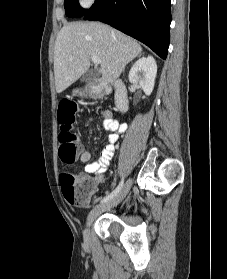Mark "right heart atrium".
I'll list each match as a JSON object with an SVG mask.
<instances>
[{
	"label": "right heart atrium",
	"mask_w": 227,
	"mask_h": 279,
	"mask_svg": "<svg viewBox=\"0 0 227 279\" xmlns=\"http://www.w3.org/2000/svg\"><path fill=\"white\" fill-rule=\"evenodd\" d=\"M80 1L83 6L88 7L93 5L96 0H80Z\"/></svg>",
	"instance_id": "obj_1"
}]
</instances>
